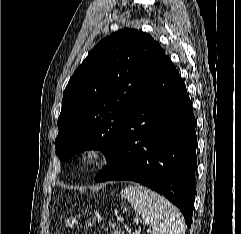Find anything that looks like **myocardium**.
<instances>
[{
    "label": "myocardium",
    "mask_w": 241,
    "mask_h": 234,
    "mask_svg": "<svg viewBox=\"0 0 241 234\" xmlns=\"http://www.w3.org/2000/svg\"><path fill=\"white\" fill-rule=\"evenodd\" d=\"M106 149L98 144H90L82 148L77 157V162L82 169H92L99 165L105 158Z\"/></svg>",
    "instance_id": "f54148a6"
}]
</instances>
